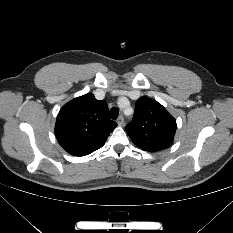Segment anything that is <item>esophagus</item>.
I'll list each match as a JSON object with an SVG mask.
<instances>
[{
	"instance_id": "obj_1",
	"label": "esophagus",
	"mask_w": 233,
	"mask_h": 233,
	"mask_svg": "<svg viewBox=\"0 0 233 233\" xmlns=\"http://www.w3.org/2000/svg\"><path fill=\"white\" fill-rule=\"evenodd\" d=\"M117 124L119 126H122L124 124V118L123 116H119L118 119H117Z\"/></svg>"
}]
</instances>
